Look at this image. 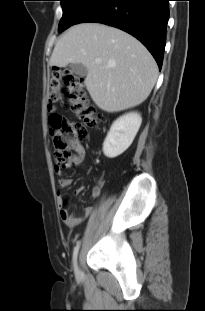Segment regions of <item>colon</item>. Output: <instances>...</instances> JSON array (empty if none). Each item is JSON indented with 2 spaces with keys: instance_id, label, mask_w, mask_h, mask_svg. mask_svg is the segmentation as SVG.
Segmentation results:
<instances>
[{
  "instance_id": "colon-1",
  "label": "colon",
  "mask_w": 205,
  "mask_h": 311,
  "mask_svg": "<svg viewBox=\"0 0 205 311\" xmlns=\"http://www.w3.org/2000/svg\"><path fill=\"white\" fill-rule=\"evenodd\" d=\"M66 103L67 109L81 121H76L56 111V106ZM47 108L49 125L55 146V159L64 165L88 137V128L103 123L102 118L86 99L84 79L71 72L55 70L51 74Z\"/></svg>"
}]
</instances>
